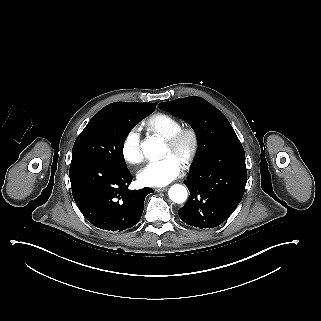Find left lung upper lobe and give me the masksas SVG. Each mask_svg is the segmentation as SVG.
<instances>
[{"label": "left lung upper lobe", "mask_w": 321, "mask_h": 321, "mask_svg": "<svg viewBox=\"0 0 321 321\" xmlns=\"http://www.w3.org/2000/svg\"><path fill=\"white\" fill-rule=\"evenodd\" d=\"M159 108L184 119L197 135L196 165L222 148L241 144L227 118L203 98L191 96L159 104ZM195 165V166H196Z\"/></svg>", "instance_id": "1"}]
</instances>
